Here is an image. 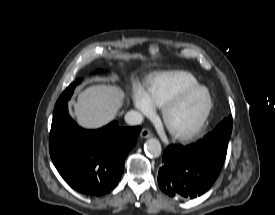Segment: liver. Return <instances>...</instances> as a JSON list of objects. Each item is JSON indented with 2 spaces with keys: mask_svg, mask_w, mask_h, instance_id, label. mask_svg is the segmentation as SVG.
Wrapping results in <instances>:
<instances>
[{
  "mask_svg": "<svg viewBox=\"0 0 275 215\" xmlns=\"http://www.w3.org/2000/svg\"><path fill=\"white\" fill-rule=\"evenodd\" d=\"M125 92L118 86L94 85L79 93L73 104L79 125L96 129L112 121L123 105Z\"/></svg>",
  "mask_w": 275,
  "mask_h": 215,
  "instance_id": "1",
  "label": "liver"
}]
</instances>
